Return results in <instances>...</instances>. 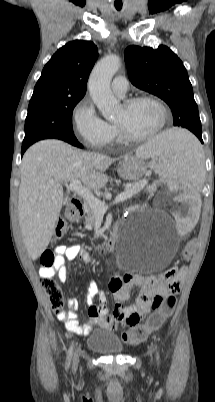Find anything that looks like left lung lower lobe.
<instances>
[{
	"mask_svg": "<svg viewBox=\"0 0 215 402\" xmlns=\"http://www.w3.org/2000/svg\"><path fill=\"white\" fill-rule=\"evenodd\" d=\"M198 138H199V140L203 143L202 136H201V137H198Z\"/></svg>",
	"mask_w": 215,
	"mask_h": 402,
	"instance_id": "obj_1",
	"label": "left lung lower lobe"
}]
</instances>
